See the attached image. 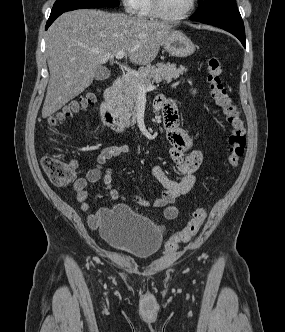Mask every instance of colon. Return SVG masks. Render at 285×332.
<instances>
[{"label":"colon","instance_id":"colon-1","mask_svg":"<svg viewBox=\"0 0 285 332\" xmlns=\"http://www.w3.org/2000/svg\"><path fill=\"white\" fill-rule=\"evenodd\" d=\"M223 64L217 57H211L207 61V83L210 96L215 105L223 114L230 126L228 137L227 163L230 167H237L242 159L246 147V130L239 108L233 102L227 88L222 81ZM95 101L94 94H87L77 100L71 101L61 111L48 118V125L57 126L60 122L77 112L92 105ZM42 168L49 180L58 187H66L76 180V169L72 162H65L54 156H44L41 160ZM207 211L204 207H197L187 222L178 232L174 233L166 242L165 249L173 253L180 243L189 242L200 231Z\"/></svg>","mask_w":285,"mask_h":332}]
</instances>
